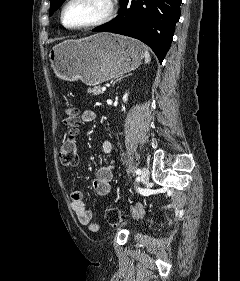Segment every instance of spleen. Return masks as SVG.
Instances as JSON below:
<instances>
[{
  "label": "spleen",
  "mask_w": 240,
  "mask_h": 281,
  "mask_svg": "<svg viewBox=\"0 0 240 281\" xmlns=\"http://www.w3.org/2000/svg\"><path fill=\"white\" fill-rule=\"evenodd\" d=\"M144 57H145V63H146V64H147V63H150V61H151V56H150V53H149V51H148L147 48L145 49Z\"/></svg>",
  "instance_id": "3e777b00"
}]
</instances>
